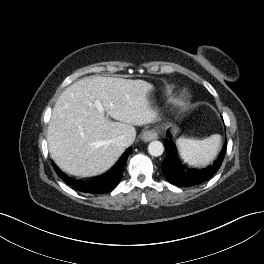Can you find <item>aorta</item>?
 <instances>
[{
    "mask_svg": "<svg viewBox=\"0 0 264 264\" xmlns=\"http://www.w3.org/2000/svg\"><path fill=\"white\" fill-rule=\"evenodd\" d=\"M148 152L154 157L161 156L164 152V146L160 141H152L148 145Z\"/></svg>",
    "mask_w": 264,
    "mask_h": 264,
    "instance_id": "aorta-1",
    "label": "aorta"
}]
</instances>
